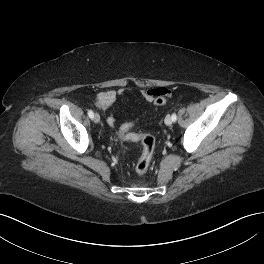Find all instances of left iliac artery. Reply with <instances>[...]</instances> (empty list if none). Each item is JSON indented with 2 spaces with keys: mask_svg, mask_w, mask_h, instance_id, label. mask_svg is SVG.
I'll use <instances>...</instances> for the list:
<instances>
[{
  "mask_svg": "<svg viewBox=\"0 0 264 264\" xmlns=\"http://www.w3.org/2000/svg\"><path fill=\"white\" fill-rule=\"evenodd\" d=\"M171 118H172V121L175 122V121L177 120V116H176V114L173 113Z\"/></svg>",
  "mask_w": 264,
  "mask_h": 264,
  "instance_id": "44dca946",
  "label": "left iliac artery"
}]
</instances>
